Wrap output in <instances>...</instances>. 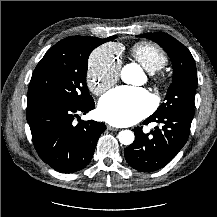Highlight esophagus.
Masks as SVG:
<instances>
[{"mask_svg": "<svg viewBox=\"0 0 217 217\" xmlns=\"http://www.w3.org/2000/svg\"><path fill=\"white\" fill-rule=\"evenodd\" d=\"M107 130H110V131H117V128L113 127V126H110V125H107Z\"/></svg>", "mask_w": 217, "mask_h": 217, "instance_id": "obj_1", "label": "esophagus"}]
</instances>
